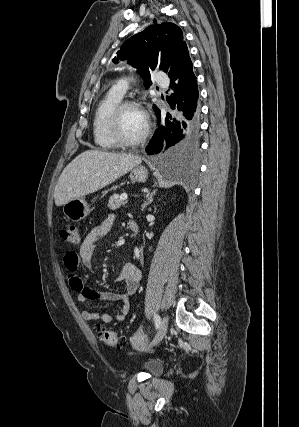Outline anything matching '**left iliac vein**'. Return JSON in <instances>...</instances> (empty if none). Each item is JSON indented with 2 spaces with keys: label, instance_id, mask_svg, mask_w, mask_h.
<instances>
[{
  "label": "left iliac vein",
  "instance_id": "left-iliac-vein-1",
  "mask_svg": "<svg viewBox=\"0 0 299 427\" xmlns=\"http://www.w3.org/2000/svg\"><path fill=\"white\" fill-rule=\"evenodd\" d=\"M167 330H168V319H167V317L164 316L162 318L159 330H158L155 338L151 342L150 346L157 345L165 337Z\"/></svg>",
  "mask_w": 299,
  "mask_h": 427
}]
</instances>
